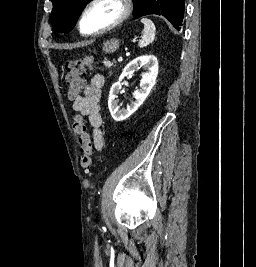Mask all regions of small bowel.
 Returning a JSON list of instances; mask_svg holds the SVG:
<instances>
[{"label": "small bowel", "mask_w": 256, "mask_h": 267, "mask_svg": "<svg viewBox=\"0 0 256 267\" xmlns=\"http://www.w3.org/2000/svg\"><path fill=\"white\" fill-rule=\"evenodd\" d=\"M105 79L101 74H94L90 80L84 81L82 93L75 98L72 107L77 116L87 117L92 128L91 137L89 136L90 149L93 147L101 151L104 145L102 132V117L99 112V101L101 89Z\"/></svg>", "instance_id": "c3829d8e"}]
</instances>
